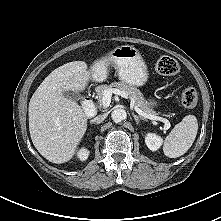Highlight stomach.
Here are the masks:
<instances>
[{
	"label": "stomach",
	"instance_id": "stomach-1",
	"mask_svg": "<svg viewBox=\"0 0 221 221\" xmlns=\"http://www.w3.org/2000/svg\"><path fill=\"white\" fill-rule=\"evenodd\" d=\"M112 63L119 78L127 84L143 86L148 80L147 66L139 52L132 45L116 47L108 53L107 59L96 61L90 69V75L96 82H103L108 76V66ZM150 105L156 106L155 101Z\"/></svg>",
	"mask_w": 221,
	"mask_h": 221
}]
</instances>
